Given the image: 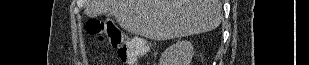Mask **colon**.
<instances>
[{"label":"colon","mask_w":309,"mask_h":65,"mask_svg":"<svg viewBox=\"0 0 309 65\" xmlns=\"http://www.w3.org/2000/svg\"><path fill=\"white\" fill-rule=\"evenodd\" d=\"M85 28L99 41H108L124 64H135L147 51L141 39L126 37L110 20L92 18L86 22Z\"/></svg>","instance_id":"obj_1"}]
</instances>
